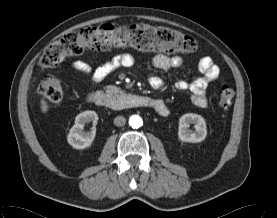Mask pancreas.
I'll return each instance as SVG.
<instances>
[{"label":"pancreas","instance_id":"1","mask_svg":"<svg viewBox=\"0 0 277 218\" xmlns=\"http://www.w3.org/2000/svg\"><path fill=\"white\" fill-rule=\"evenodd\" d=\"M105 90L112 97L123 95L125 93V91L121 90L119 87L115 85H107L105 87Z\"/></svg>","mask_w":277,"mask_h":218}]
</instances>
